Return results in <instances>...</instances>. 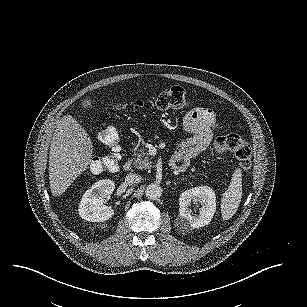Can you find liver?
<instances>
[{
    "label": "liver",
    "mask_w": 307,
    "mask_h": 307,
    "mask_svg": "<svg viewBox=\"0 0 307 307\" xmlns=\"http://www.w3.org/2000/svg\"><path fill=\"white\" fill-rule=\"evenodd\" d=\"M92 142L86 131L71 116L60 119L49 147V184L54 195L64 193L87 167Z\"/></svg>",
    "instance_id": "6515ba94"
}]
</instances>
